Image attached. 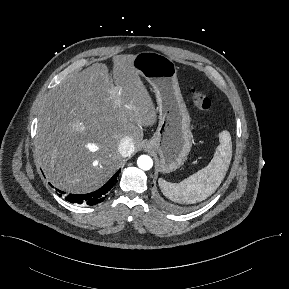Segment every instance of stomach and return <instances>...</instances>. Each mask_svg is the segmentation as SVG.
Here are the masks:
<instances>
[{
  "mask_svg": "<svg viewBox=\"0 0 289 289\" xmlns=\"http://www.w3.org/2000/svg\"><path fill=\"white\" fill-rule=\"evenodd\" d=\"M132 65L153 87L159 112V123L145 149L159 154V169L170 173L180 168L192 146L190 116L183 100L177 67L169 57L152 51L134 56Z\"/></svg>",
  "mask_w": 289,
  "mask_h": 289,
  "instance_id": "1",
  "label": "stomach"
}]
</instances>
